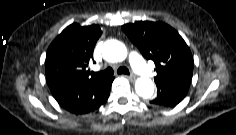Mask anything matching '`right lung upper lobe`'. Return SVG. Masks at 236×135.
<instances>
[{"label": "right lung upper lobe", "instance_id": "1", "mask_svg": "<svg viewBox=\"0 0 236 135\" xmlns=\"http://www.w3.org/2000/svg\"><path fill=\"white\" fill-rule=\"evenodd\" d=\"M101 33L98 25L82 27L73 23L56 37L46 56L45 70L49 87L61 83L78 84L100 80L90 76L86 68Z\"/></svg>", "mask_w": 236, "mask_h": 135}]
</instances>
